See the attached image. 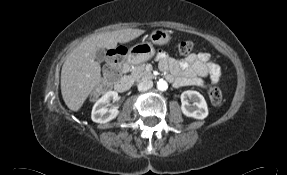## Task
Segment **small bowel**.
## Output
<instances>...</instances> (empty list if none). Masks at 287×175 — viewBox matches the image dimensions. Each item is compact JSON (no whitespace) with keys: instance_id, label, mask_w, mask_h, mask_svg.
<instances>
[{"instance_id":"c3829d8e","label":"small bowel","mask_w":287,"mask_h":175,"mask_svg":"<svg viewBox=\"0 0 287 175\" xmlns=\"http://www.w3.org/2000/svg\"><path fill=\"white\" fill-rule=\"evenodd\" d=\"M157 60L162 71H169L167 78L176 87L190 85L202 87L203 77L210 74L214 79H218L220 76L218 65L211 61V56L207 52L192 54L178 60L164 51H159Z\"/></svg>"}]
</instances>
